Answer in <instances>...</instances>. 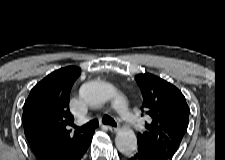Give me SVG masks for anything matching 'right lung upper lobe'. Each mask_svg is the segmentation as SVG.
<instances>
[{
  "label": "right lung upper lobe",
  "instance_id": "right-lung-upper-lobe-1",
  "mask_svg": "<svg viewBox=\"0 0 225 160\" xmlns=\"http://www.w3.org/2000/svg\"><path fill=\"white\" fill-rule=\"evenodd\" d=\"M80 73L81 69L74 66L52 72L34 86L25 101L24 132L38 158L71 153L93 136V130H70L74 118L69 110V96Z\"/></svg>",
  "mask_w": 225,
  "mask_h": 160
}]
</instances>
